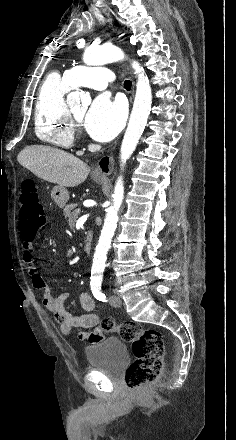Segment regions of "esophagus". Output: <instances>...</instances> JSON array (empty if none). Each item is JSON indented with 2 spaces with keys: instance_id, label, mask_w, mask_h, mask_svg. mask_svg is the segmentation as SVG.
<instances>
[{
  "instance_id": "34e87169",
  "label": "esophagus",
  "mask_w": 236,
  "mask_h": 440,
  "mask_svg": "<svg viewBox=\"0 0 236 440\" xmlns=\"http://www.w3.org/2000/svg\"><path fill=\"white\" fill-rule=\"evenodd\" d=\"M114 168V160L111 156L102 157L93 170V174L99 177L109 176Z\"/></svg>"
}]
</instances>
